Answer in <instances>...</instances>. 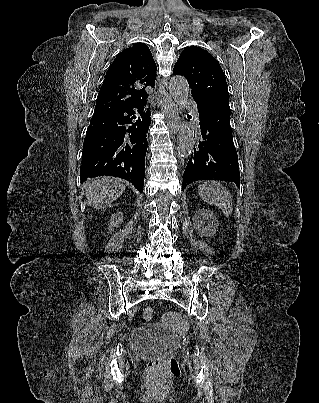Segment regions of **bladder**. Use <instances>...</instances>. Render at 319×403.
I'll return each instance as SVG.
<instances>
[{"mask_svg": "<svg viewBox=\"0 0 319 403\" xmlns=\"http://www.w3.org/2000/svg\"><path fill=\"white\" fill-rule=\"evenodd\" d=\"M177 344L173 333L158 328L154 330H142L134 339V347L138 354L145 356L160 355L165 350Z\"/></svg>", "mask_w": 319, "mask_h": 403, "instance_id": "1", "label": "bladder"}]
</instances>
